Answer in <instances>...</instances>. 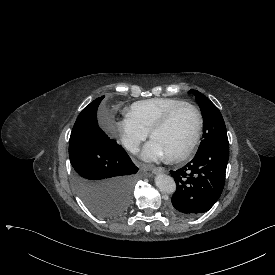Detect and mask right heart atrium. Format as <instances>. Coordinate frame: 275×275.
Returning <instances> with one entry per match:
<instances>
[{
	"label": "right heart atrium",
	"mask_w": 275,
	"mask_h": 275,
	"mask_svg": "<svg viewBox=\"0 0 275 275\" xmlns=\"http://www.w3.org/2000/svg\"><path fill=\"white\" fill-rule=\"evenodd\" d=\"M114 134L122 145L132 154L139 151L142 143L148 136V132L129 117L115 122Z\"/></svg>",
	"instance_id": "right-heart-atrium-1"
}]
</instances>
